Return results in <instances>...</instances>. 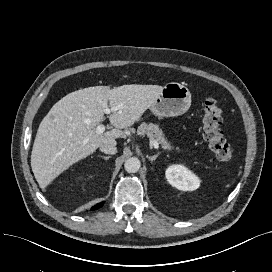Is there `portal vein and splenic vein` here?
I'll return each instance as SVG.
<instances>
[{
  "mask_svg": "<svg viewBox=\"0 0 272 272\" xmlns=\"http://www.w3.org/2000/svg\"><path fill=\"white\" fill-rule=\"evenodd\" d=\"M120 109V106H117V107H113V108H106L105 109V113L106 114H110L112 111H116V110H119ZM105 131V125L104 124H99L97 125L96 127V133L98 134H102L104 133ZM86 143V140L84 141V144ZM151 145L155 148V149H158L159 148V144L156 140L154 139H151Z\"/></svg>",
  "mask_w": 272,
  "mask_h": 272,
  "instance_id": "18ae733b",
  "label": "portal vein and splenic vein"
}]
</instances>
